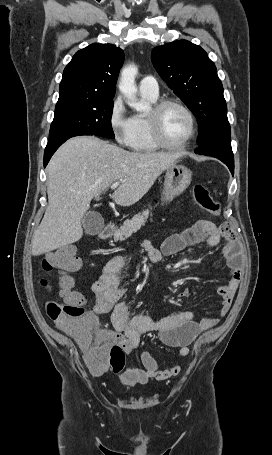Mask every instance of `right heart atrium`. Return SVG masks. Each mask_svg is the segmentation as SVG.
<instances>
[{"label": "right heart atrium", "mask_w": 272, "mask_h": 455, "mask_svg": "<svg viewBox=\"0 0 272 455\" xmlns=\"http://www.w3.org/2000/svg\"><path fill=\"white\" fill-rule=\"evenodd\" d=\"M108 123L116 142L128 146L132 133V118L127 115V110L121 97H116L110 107Z\"/></svg>", "instance_id": "right-heart-atrium-1"}]
</instances>
